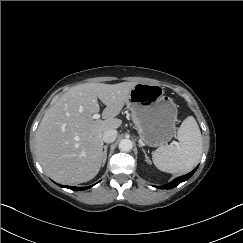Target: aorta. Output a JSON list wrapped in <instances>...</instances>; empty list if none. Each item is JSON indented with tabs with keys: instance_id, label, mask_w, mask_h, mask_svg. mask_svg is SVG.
<instances>
[{
	"instance_id": "obj_1",
	"label": "aorta",
	"mask_w": 243,
	"mask_h": 243,
	"mask_svg": "<svg viewBox=\"0 0 243 243\" xmlns=\"http://www.w3.org/2000/svg\"><path fill=\"white\" fill-rule=\"evenodd\" d=\"M133 143L130 139H122L119 143V149L124 152L132 150Z\"/></svg>"
}]
</instances>
